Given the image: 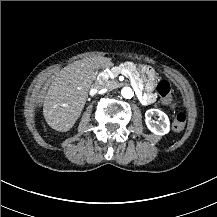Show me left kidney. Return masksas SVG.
Masks as SVG:
<instances>
[{
    "instance_id": "1",
    "label": "left kidney",
    "mask_w": 217,
    "mask_h": 217,
    "mask_svg": "<svg viewBox=\"0 0 217 217\" xmlns=\"http://www.w3.org/2000/svg\"><path fill=\"white\" fill-rule=\"evenodd\" d=\"M156 114L158 120H152L151 116ZM145 124L150 132L155 135L163 136L170 132V120L166 113L159 109H148L145 112Z\"/></svg>"
}]
</instances>
